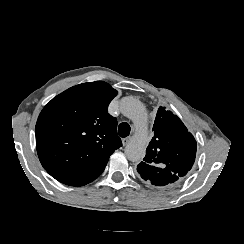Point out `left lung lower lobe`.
<instances>
[{
  "label": "left lung lower lobe",
  "instance_id": "obj_1",
  "mask_svg": "<svg viewBox=\"0 0 244 244\" xmlns=\"http://www.w3.org/2000/svg\"><path fill=\"white\" fill-rule=\"evenodd\" d=\"M139 174L141 175V177H142L145 181H148V182H150L151 184L156 185V186H165V185H169V184H172V183H174V182H176V181L179 180V178H178V179L173 180L172 182L164 183V182H161V181H154L153 179H151L148 175H146V174H144V173H143V174L139 173Z\"/></svg>",
  "mask_w": 244,
  "mask_h": 244
}]
</instances>
